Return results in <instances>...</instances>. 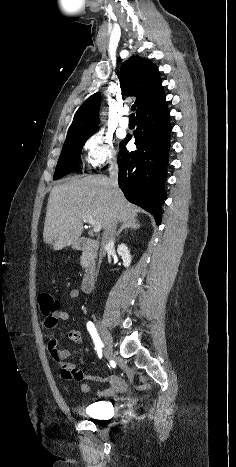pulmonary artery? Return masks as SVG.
I'll return each mask as SVG.
<instances>
[{
    "label": "pulmonary artery",
    "mask_w": 236,
    "mask_h": 467,
    "mask_svg": "<svg viewBox=\"0 0 236 467\" xmlns=\"http://www.w3.org/2000/svg\"><path fill=\"white\" fill-rule=\"evenodd\" d=\"M124 116L120 119L119 124L122 128H128L129 127V119L126 117L127 111L123 112Z\"/></svg>",
    "instance_id": "obj_1"
}]
</instances>
